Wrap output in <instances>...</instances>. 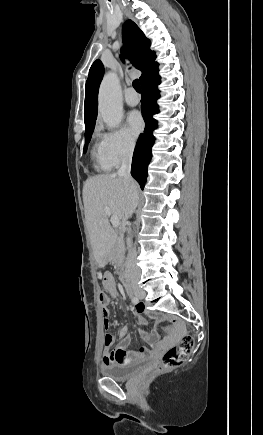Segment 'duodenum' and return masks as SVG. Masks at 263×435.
I'll return each instance as SVG.
<instances>
[{
	"mask_svg": "<svg viewBox=\"0 0 263 435\" xmlns=\"http://www.w3.org/2000/svg\"><path fill=\"white\" fill-rule=\"evenodd\" d=\"M120 280H121V282H122V284H123V286H124V288H125L127 294H128L129 296H131V295H132V287H131V285H130V282H129V279H128L127 274L124 273V272L121 273V275H120Z\"/></svg>",
	"mask_w": 263,
	"mask_h": 435,
	"instance_id": "duodenum-1",
	"label": "duodenum"
}]
</instances>
